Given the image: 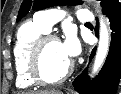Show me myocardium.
I'll return each instance as SVG.
<instances>
[{
	"label": "myocardium",
	"instance_id": "myocardium-1",
	"mask_svg": "<svg viewBox=\"0 0 121 94\" xmlns=\"http://www.w3.org/2000/svg\"><path fill=\"white\" fill-rule=\"evenodd\" d=\"M50 41L60 42V39L58 36L51 33L43 34L33 41L27 55V70L29 76L36 84L41 86H54L62 83L72 74L74 69V63L71 61L69 66L58 78L47 79L43 76L41 55L45 44Z\"/></svg>",
	"mask_w": 121,
	"mask_h": 94
}]
</instances>
